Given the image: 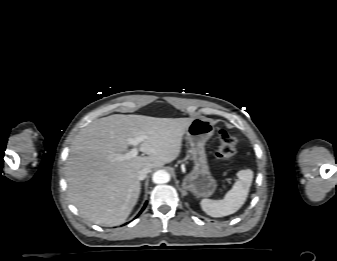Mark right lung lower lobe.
I'll return each instance as SVG.
<instances>
[{
	"label": "right lung lower lobe",
	"mask_w": 337,
	"mask_h": 261,
	"mask_svg": "<svg viewBox=\"0 0 337 261\" xmlns=\"http://www.w3.org/2000/svg\"><path fill=\"white\" fill-rule=\"evenodd\" d=\"M147 203H145L144 207L142 208L141 212L144 210V208L146 207Z\"/></svg>",
	"instance_id": "98d812e1"
}]
</instances>
